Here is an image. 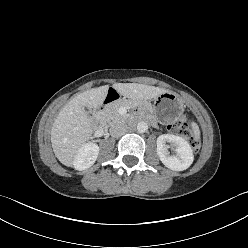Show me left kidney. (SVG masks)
I'll use <instances>...</instances> for the list:
<instances>
[{
	"instance_id": "1",
	"label": "left kidney",
	"mask_w": 248,
	"mask_h": 248,
	"mask_svg": "<svg viewBox=\"0 0 248 248\" xmlns=\"http://www.w3.org/2000/svg\"><path fill=\"white\" fill-rule=\"evenodd\" d=\"M168 148H171L175 154H170ZM157 154L166 167L175 171L187 169L194 160L189 143L173 134H163L157 138Z\"/></svg>"
}]
</instances>
